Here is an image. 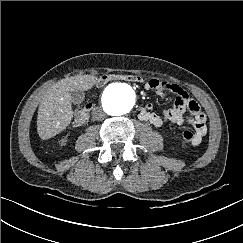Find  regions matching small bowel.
I'll return each mask as SVG.
<instances>
[{"label": "small bowel", "mask_w": 243, "mask_h": 243, "mask_svg": "<svg viewBox=\"0 0 243 243\" xmlns=\"http://www.w3.org/2000/svg\"><path fill=\"white\" fill-rule=\"evenodd\" d=\"M145 88L146 90L155 91L162 97L165 92L175 94V104L173 109L165 110L160 114L152 111V104H147L145 107H141L138 110V117L157 127L166 123L176 125L187 123L194 129L195 138L191 143L194 146L199 145L205 137L207 130L206 115L201 111L199 104L179 85L168 81L151 79L146 82ZM186 113H188V115H186Z\"/></svg>", "instance_id": "obj_1"}]
</instances>
